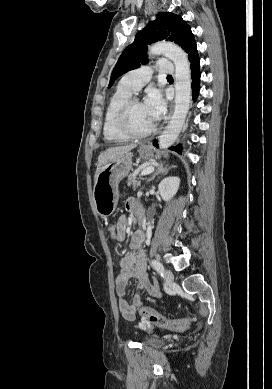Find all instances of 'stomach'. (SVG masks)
Returning a JSON list of instances; mask_svg holds the SVG:
<instances>
[{
    "instance_id": "stomach-1",
    "label": "stomach",
    "mask_w": 272,
    "mask_h": 389,
    "mask_svg": "<svg viewBox=\"0 0 272 389\" xmlns=\"http://www.w3.org/2000/svg\"><path fill=\"white\" fill-rule=\"evenodd\" d=\"M138 152L140 157L146 160L154 156L153 148L149 145H142ZM131 169V153L121 155L101 167L93 191L95 209L99 216L105 218L115 211L119 199V182Z\"/></svg>"
}]
</instances>
